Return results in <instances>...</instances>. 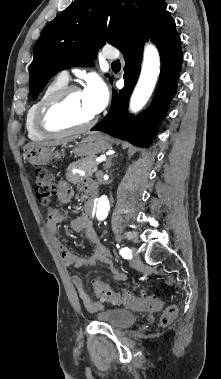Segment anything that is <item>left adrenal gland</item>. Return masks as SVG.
<instances>
[{"instance_id":"1","label":"left adrenal gland","mask_w":221,"mask_h":379,"mask_svg":"<svg viewBox=\"0 0 221 379\" xmlns=\"http://www.w3.org/2000/svg\"><path fill=\"white\" fill-rule=\"evenodd\" d=\"M112 156L108 157L103 165L104 170L109 169L112 166Z\"/></svg>"}]
</instances>
